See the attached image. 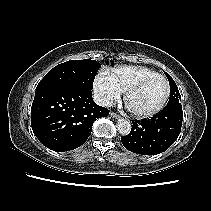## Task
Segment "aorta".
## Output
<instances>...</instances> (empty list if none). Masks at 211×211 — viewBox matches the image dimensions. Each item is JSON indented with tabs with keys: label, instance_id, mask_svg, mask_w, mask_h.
Returning <instances> with one entry per match:
<instances>
[{
	"label": "aorta",
	"instance_id": "762f6f07",
	"mask_svg": "<svg viewBox=\"0 0 211 211\" xmlns=\"http://www.w3.org/2000/svg\"><path fill=\"white\" fill-rule=\"evenodd\" d=\"M116 126L119 133L122 135H128L131 131V123L126 119H118Z\"/></svg>",
	"mask_w": 211,
	"mask_h": 211
}]
</instances>
